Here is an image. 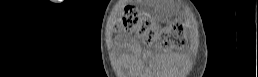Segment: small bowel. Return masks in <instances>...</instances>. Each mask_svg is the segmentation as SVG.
<instances>
[{"label": "small bowel", "instance_id": "c3829d8e", "mask_svg": "<svg viewBox=\"0 0 258 77\" xmlns=\"http://www.w3.org/2000/svg\"><path fill=\"white\" fill-rule=\"evenodd\" d=\"M127 48L133 53L129 59H131L133 62H137L138 55L140 53V49L136 41L134 40H128L127 41Z\"/></svg>", "mask_w": 258, "mask_h": 77}]
</instances>
